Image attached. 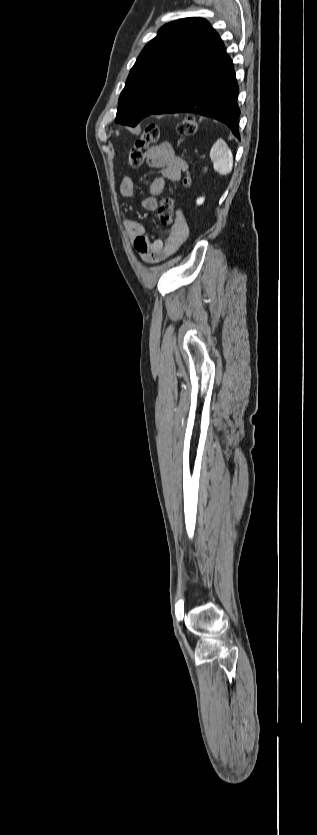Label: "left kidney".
<instances>
[{"instance_id":"obj_1","label":"left kidney","mask_w":317,"mask_h":835,"mask_svg":"<svg viewBox=\"0 0 317 835\" xmlns=\"http://www.w3.org/2000/svg\"><path fill=\"white\" fill-rule=\"evenodd\" d=\"M204 200H205V198H204V197H200V198H198V199H197V201H196L197 205H202V204H203V202H204Z\"/></svg>"}]
</instances>
